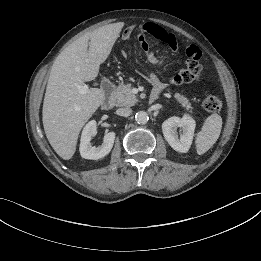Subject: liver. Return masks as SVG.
Listing matches in <instances>:
<instances>
[{"instance_id": "6515ba94", "label": "liver", "mask_w": 261, "mask_h": 261, "mask_svg": "<svg viewBox=\"0 0 261 261\" xmlns=\"http://www.w3.org/2000/svg\"><path fill=\"white\" fill-rule=\"evenodd\" d=\"M119 23L100 27L66 47L55 59L43 102L46 137L64 160L73 157L79 133L105 100L102 89L80 94L77 85L94 80L119 36Z\"/></svg>"}]
</instances>
